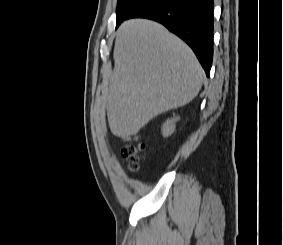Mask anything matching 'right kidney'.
<instances>
[{
	"label": "right kidney",
	"instance_id": "ca27d5eb",
	"mask_svg": "<svg viewBox=\"0 0 283 245\" xmlns=\"http://www.w3.org/2000/svg\"><path fill=\"white\" fill-rule=\"evenodd\" d=\"M179 120V117L168 119L162 127V134L164 137L170 136L175 130V122Z\"/></svg>",
	"mask_w": 283,
	"mask_h": 245
}]
</instances>
